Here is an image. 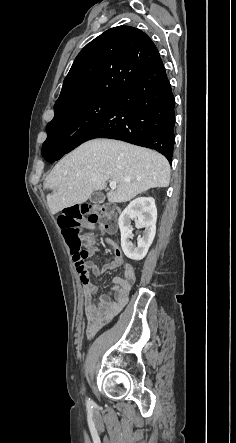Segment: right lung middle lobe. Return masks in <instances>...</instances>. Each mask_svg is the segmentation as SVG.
<instances>
[{
	"label": "right lung middle lobe",
	"mask_w": 236,
	"mask_h": 443,
	"mask_svg": "<svg viewBox=\"0 0 236 443\" xmlns=\"http://www.w3.org/2000/svg\"><path fill=\"white\" fill-rule=\"evenodd\" d=\"M115 95L99 94L55 114L48 123L47 139L42 149L50 146L67 147L92 119L98 117L115 99Z\"/></svg>",
	"instance_id": "obj_1"
}]
</instances>
